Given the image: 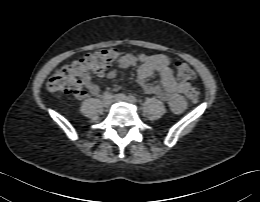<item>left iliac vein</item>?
<instances>
[{
    "mask_svg": "<svg viewBox=\"0 0 260 202\" xmlns=\"http://www.w3.org/2000/svg\"><path fill=\"white\" fill-rule=\"evenodd\" d=\"M113 102H131L124 94H116L112 98Z\"/></svg>",
    "mask_w": 260,
    "mask_h": 202,
    "instance_id": "left-iliac-vein-1",
    "label": "left iliac vein"
}]
</instances>
